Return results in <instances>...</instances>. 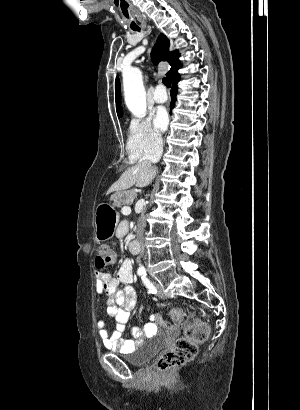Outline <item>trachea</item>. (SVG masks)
I'll list each match as a JSON object with an SVG mask.
<instances>
[{"label": "trachea", "mask_w": 300, "mask_h": 410, "mask_svg": "<svg viewBox=\"0 0 300 410\" xmlns=\"http://www.w3.org/2000/svg\"><path fill=\"white\" fill-rule=\"evenodd\" d=\"M134 31H140V29H134ZM163 84L167 87L170 88L171 87V81L169 77H164L162 79Z\"/></svg>", "instance_id": "1"}]
</instances>
